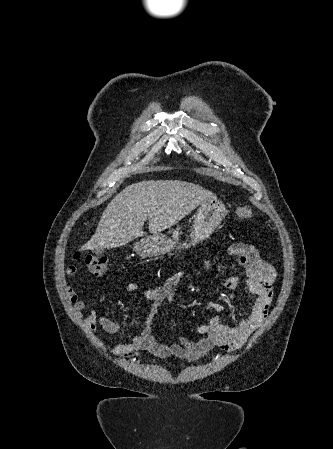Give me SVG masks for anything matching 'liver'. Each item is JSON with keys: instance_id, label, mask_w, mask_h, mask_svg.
<instances>
[{"instance_id": "1", "label": "liver", "mask_w": 333, "mask_h": 449, "mask_svg": "<svg viewBox=\"0 0 333 449\" xmlns=\"http://www.w3.org/2000/svg\"><path fill=\"white\" fill-rule=\"evenodd\" d=\"M217 196L202 186L177 180H149L127 186L104 210L95 234L80 250L112 249L149 231L157 235L175 225L197 206Z\"/></svg>"}]
</instances>
